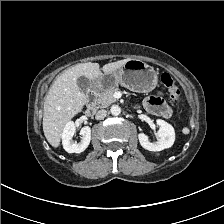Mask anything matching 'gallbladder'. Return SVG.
Wrapping results in <instances>:
<instances>
[{
	"label": "gallbladder",
	"instance_id": "gallbladder-1",
	"mask_svg": "<svg viewBox=\"0 0 224 224\" xmlns=\"http://www.w3.org/2000/svg\"><path fill=\"white\" fill-rule=\"evenodd\" d=\"M77 85L83 93H87L90 87V80L85 76H80L77 79Z\"/></svg>",
	"mask_w": 224,
	"mask_h": 224
}]
</instances>
